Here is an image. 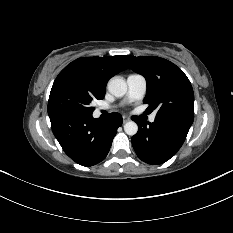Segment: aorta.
Wrapping results in <instances>:
<instances>
[{
  "label": "aorta",
  "instance_id": "aorta-1",
  "mask_svg": "<svg viewBox=\"0 0 233 233\" xmlns=\"http://www.w3.org/2000/svg\"><path fill=\"white\" fill-rule=\"evenodd\" d=\"M108 90L115 97H122L127 92V83L119 77H113L108 82ZM126 134L133 136L138 132V125L134 121H129L124 125Z\"/></svg>",
  "mask_w": 233,
  "mask_h": 233
}]
</instances>
